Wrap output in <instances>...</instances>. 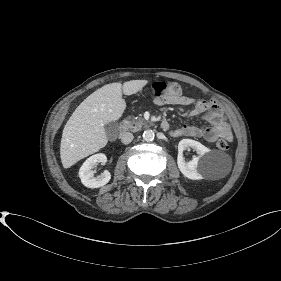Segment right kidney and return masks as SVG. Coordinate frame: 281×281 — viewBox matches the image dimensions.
I'll use <instances>...</instances> for the list:
<instances>
[{
    "instance_id": "ca27d5eb",
    "label": "right kidney",
    "mask_w": 281,
    "mask_h": 281,
    "mask_svg": "<svg viewBox=\"0 0 281 281\" xmlns=\"http://www.w3.org/2000/svg\"><path fill=\"white\" fill-rule=\"evenodd\" d=\"M107 162V157L103 153H98L89 157L79 169V177L84 186L88 188H99L106 185L110 179L111 174L104 171L102 174L94 177L93 168L99 163L104 165Z\"/></svg>"
}]
</instances>
